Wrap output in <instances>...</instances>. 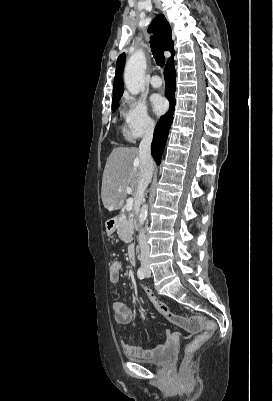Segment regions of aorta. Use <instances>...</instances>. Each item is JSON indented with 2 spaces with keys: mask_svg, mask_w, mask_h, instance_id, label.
Wrapping results in <instances>:
<instances>
[{
  "mask_svg": "<svg viewBox=\"0 0 273 401\" xmlns=\"http://www.w3.org/2000/svg\"><path fill=\"white\" fill-rule=\"evenodd\" d=\"M146 70V58L139 50L127 61L124 70V82L128 91L138 94L144 88V73ZM148 215V205L144 204L139 213V223L143 225Z\"/></svg>",
  "mask_w": 273,
  "mask_h": 401,
  "instance_id": "aorta-1",
  "label": "aorta"
}]
</instances>
